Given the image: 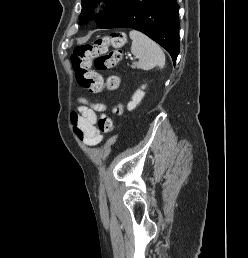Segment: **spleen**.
<instances>
[{"label": "spleen", "mask_w": 248, "mask_h": 258, "mask_svg": "<svg viewBox=\"0 0 248 258\" xmlns=\"http://www.w3.org/2000/svg\"><path fill=\"white\" fill-rule=\"evenodd\" d=\"M129 36L132 39L131 52L139 57V68L150 70L164 67L165 55L157 43L137 30H131Z\"/></svg>", "instance_id": "spleen-1"}]
</instances>
